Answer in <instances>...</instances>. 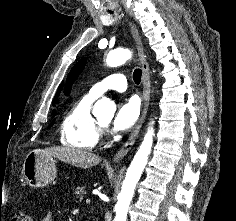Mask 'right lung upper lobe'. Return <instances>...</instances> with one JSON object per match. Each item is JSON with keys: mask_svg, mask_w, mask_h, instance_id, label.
Returning <instances> with one entry per match:
<instances>
[{"mask_svg": "<svg viewBox=\"0 0 236 221\" xmlns=\"http://www.w3.org/2000/svg\"><path fill=\"white\" fill-rule=\"evenodd\" d=\"M61 88H62V85L59 87V89H58V91H57V93H56V96H55V98H54L53 103L56 102L57 96L59 95V93H60V91H61Z\"/></svg>", "mask_w": 236, "mask_h": 221, "instance_id": "obj_1", "label": "right lung upper lobe"}]
</instances>
